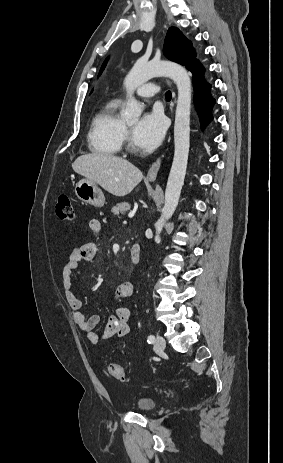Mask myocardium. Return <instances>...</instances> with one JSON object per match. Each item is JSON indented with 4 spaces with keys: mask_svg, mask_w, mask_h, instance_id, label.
Here are the masks:
<instances>
[{
    "mask_svg": "<svg viewBox=\"0 0 283 463\" xmlns=\"http://www.w3.org/2000/svg\"><path fill=\"white\" fill-rule=\"evenodd\" d=\"M123 141L126 143V148L129 152L138 153V149L135 147V145L132 142L131 135H130V129L126 125H124Z\"/></svg>",
    "mask_w": 283,
    "mask_h": 463,
    "instance_id": "obj_1",
    "label": "myocardium"
}]
</instances>
